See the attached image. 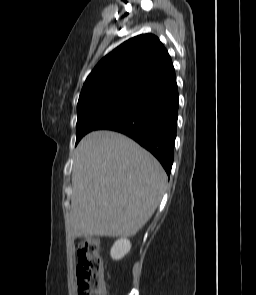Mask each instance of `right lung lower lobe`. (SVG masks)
I'll list each match as a JSON object with an SVG mask.
<instances>
[{"label": "right lung lower lobe", "instance_id": "obj_1", "mask_svg": "<svg viewBox=\"0 0 256 295\" xmlns=\"http://www.w3.org/2000/svg\"><path fill=\"white\" fill-rule=\"evenodd\" d=\"M178 88L173 65L138 91L133 100L99 129L123 133L150 151L169 175L178 118Z\"/></svg>", "mask_w": 256, "mask_h": 295}]
</instances>
